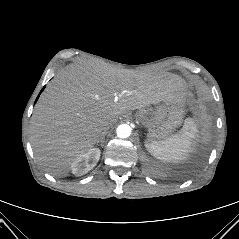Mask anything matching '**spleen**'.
I'll list each match as a JSON object with an SVG mask.
<instances>
[{"instance_id":"1","label":"spleen","mask_w":239,"mask_h":239,"mask_svg":"<svg viewBox=\"0 0 239 239\" xmlns=\"http://www.w3.org/2000/svg\"><path fill=\"white\" fill-rule=\"evenodd\" d=\"M197 131L194 119L187 118L178 133L165 140L147 141L145 147L158 160L164 162L179 161L188 156Z\"/></svg>"}]
</instances>
